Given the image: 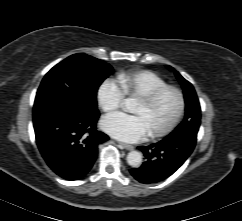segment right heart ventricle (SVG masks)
Returning <instances> with one entry per match:
<instances>
[{
  "label": "right heart ventricle",
  "instance_id": "1",
  "mask_svg": "<svg viewBox=\"0 0 242 221\" xmlns=\"http://www.w3.org/2000/svg\"><path fill=\"white\" fill-rule=\"evenodd\" d=\"M117 81L125 95L136 98L167 85L161 76L150 70L120 72Z\"/></svg>",
  "mask_w": 242,
  "mask_h": 221
}]
</instances>
